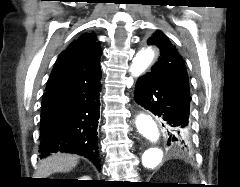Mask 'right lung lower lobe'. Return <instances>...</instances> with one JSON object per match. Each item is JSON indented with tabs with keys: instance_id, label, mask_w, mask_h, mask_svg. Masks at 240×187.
<instances>
[{
	"instance_id": "right-lung-lower-lobe-1",
	"label": "right lung lower lobe",
	"mask_w": 240,
	"mask_h": 187,
	"mask_svg": "<svg viewBox=\"0 0 240 187\" xmlns=\"http://www.w3.org/2000/svg\"><path fill=\"white\" fill-rule=\"evenodd\" d=\"M101 72L66 82L43 94L39 157L69 152L99 166L97 127Z\"/></svg>"
}]
</instances>
